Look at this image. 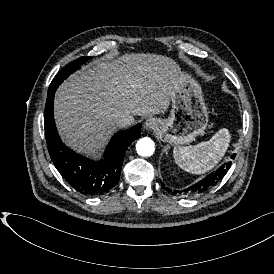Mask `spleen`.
Here are the masks:
<instances>
[{"label":"spleen","mask_w":274,"mask_h":274,"mask_svg":"<svg viewBox=\"0 0 274 274\" xmlns=\"http://www.w3.org/2000/svg\"><path fill=\"white\" fill-rule=\"evenodd\" d=\"M230 141L229 131L222 128L208 141L191 146H176L173 154L182 169L199 174L210 170L223 156Z\"/></svg>","instance_id":"spleen-1"}]
</instances>
